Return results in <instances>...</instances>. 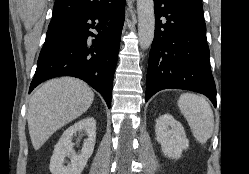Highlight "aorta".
Masks as SVG:
<instances>
[{
    "mask_svg": "<svg viewBox=\"0 0 249 174\" xmlns=\"http://www.w3.org/2000/svg\"><path fill=\"white\" fill-rule=\"evenodd\" d=\"M138 36L141 49L150 47L155 32L153 0H137Z\"/></svg>",
    "mask_w": 249,
    "mask_h": 174,
    "instance_id": "obj_1",
    "label": "aorta"
}]
</instances>
